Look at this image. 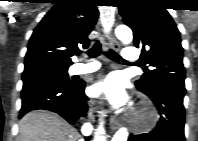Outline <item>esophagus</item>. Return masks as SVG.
Here are the masks:
<instances>
[{
  "label": "esophagus",
  "mask_w": 198,
  "mask_h": 141,
  "mask_svg": "<svg viewBox=\"0 0 198 141\" xmlns=\"http://www.w3.org/2000/svg\"><path fill=\"white\" fill-rule=\"evenodd\" d=\"M110 47L116 51H119V49H120V45H119L118 41L116 39H114L113 37L110 38ZM109 124H110V128L112 130H115L119 127L120 121L115 116H112L110 118Z\"/></svg>",
  "instance_id": "34e87169"
}]
</instances>
